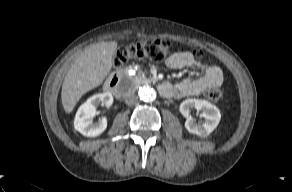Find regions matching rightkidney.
I'll return each mask as SVG.
<instances>
[{
	"mask_svg": "<svg viewBox=\"0 0 292 192\" xmlns=\"http://www.w3.org/2000/svg\"><path fill=\"white\" fill-rule=\"evenodd\" d=\"M112 103L113 96L109 92L93 95L79 107L74 120V128L86 137L99 136L107 128V119L103 117L98 122H93L97 106L102 104L110 107Z\"/></svg>",
	"mask_w": 292,
	"mask_h": 192,
	"instance_id": "ca27d5eb",
	"label": "right kidney"
}]
</instances>
